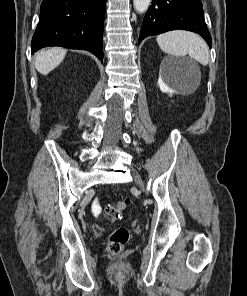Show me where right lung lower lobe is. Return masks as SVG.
<instances>
[{
  "label": "right lung lower lobe",
  "instance_id": "1",
  "mask_svg": "<svg viewBox=\"0 0 247 296\" xmlns=\"http://www.w3.org/2000/svg\"><path fill=\"white\" fill-rule=\"evenodd\" d=\"M106 0H43L32 53L47 46L83 49L103 58Z\"/></svg>",
  "mask_w": 247,
  "mask_h": 296
}]
</instances>
